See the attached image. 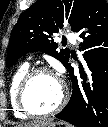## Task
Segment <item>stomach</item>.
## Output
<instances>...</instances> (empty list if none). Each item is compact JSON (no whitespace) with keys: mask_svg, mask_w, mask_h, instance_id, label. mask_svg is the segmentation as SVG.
I'll use <instances>...</instances> for the list:
<instances>
[{"mask_svg":"<svg viewBox=\"0 0 108 127\" xmlns=\"http://www.w3.org/2000/svg\"><path fill=\"white\" fill-rule=\"evenodd\" d=\"M44 127H73V126L64 121H56V122H50Z\"/></svg>","mask_w":108,"mask_h":127,"instance_id":"stomach-1","label":"stomach"}]
</instances>
